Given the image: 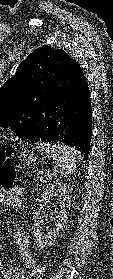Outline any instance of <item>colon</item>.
<instances>
[{
    "instance_id": "1",
    "label": "colon",
    "mask_w": 113,
    "mask_h": 279,
    "mask_svg": "<svg viewBox=\"0 0 113 279\" xmlns=\"http://www.w3.org/2000/svg\"><path fill=\"white\" fill-rule=\"evenodd\" d=\"M13 149L10 146H0V186L6 191L15 188L17 169L11 161Z\"/></svg>"
}]
</instances>
